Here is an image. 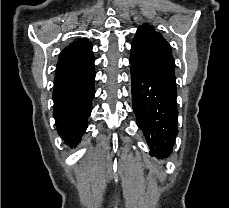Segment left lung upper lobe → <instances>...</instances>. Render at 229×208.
<instances>
[{
  "instance_id": "obj_1",
  "label": "left lung upper lobe",
  "mask_w": 229,
  "mask_h": 208,
  "mask_svg": "<svg viewBox=\"0 0 229 208\" xmlns=\"http://www.w3.org/2000/svg\"><path fill=\"white\" fill-rule=\"evenodd\" d=\"M130 60L163 87L176 91L175 61L171 47L150 24L139 26L131 44Z\"/></svg>"
}]
</instances>
